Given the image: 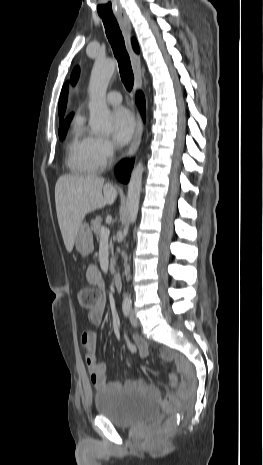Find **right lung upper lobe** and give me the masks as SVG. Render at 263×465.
Segmentation results:
<instances>
[{
  "instance_id": "1",
  "label": "right lung upper lobe",
  "mask_w": 263,
  "mask_h": 465,
  "mask_svg": "<svg viewBox=\"0 0 263 465\" xmlns=\"http://www.w3.org/2000/svg\"><path fill=\"white\" fill-rule=\"evenodd\" d=\"M132 44H133L134 50L138 53L139 52L138 43L134 38L132 39ZM67 93H68V83H66L63 86L61 94H60L59 106H58V113H59L60 121H63V116L65 113L66 103H67ZM69 118H72V114H70L65 120Z\"/></svg>"
}]
</instances>
